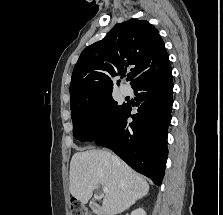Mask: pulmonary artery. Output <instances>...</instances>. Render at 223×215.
<instances>
[{"mask_svg": "<svg viewBox=\"0 0 223 215\" xmlns=\"http://www.w3.org/2000/svg\"><path fill=\"white\" fill-rule=\"evenodd\" d=\"M121 92L125 95L128 94V88L125 86H121Z\"/></svg>", "mask_w": 223, "mask_h": 215, "instance_id": "pulmonary-artery-1", "label": "pulmonary artery"}]
</instances>
